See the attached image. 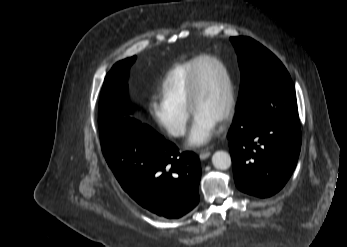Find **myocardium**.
Wrapping results in <instances>:
<instances>
[{
    "label": "myocardium",
    "instance_id": "f54148a6",
    "mask_svg": "<svg viewBox=\"0 0 347 247\" xmlns=\"http://www.w3.org/2000/svg\"><path fill=\"white\" fill-rule=\"evenodd\" d=\"M205 61H211L217 64L223 71L226 78L227 102H226L225 110L218 121L219 123H225L232 118L235 111V105H236L235 86L227 66L223 63L222 60H220L219 58L215 56H210V55L202 56L199 58L198 62L193 66L191 70V74H190L189 85H188V97H187L188 109L193 115H195V108H196L198 95H199L198 71L201 64Z\"/></svg>",
    "mask_w": 347,
    "mask_h": 247
}]
</instances>
